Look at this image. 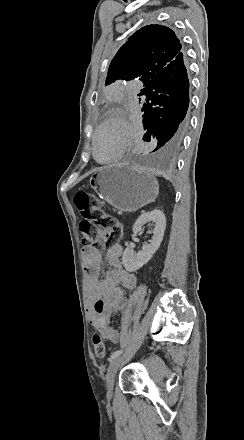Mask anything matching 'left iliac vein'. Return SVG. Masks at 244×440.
Masks as SVG:
<instances>
[{"label": "left iliac vein", "instance_id": "1", "mask_svg": "<svg viewBox=\"0 0 244 440\" xmlns=\"http://www.w3.org/2000/svg\"><path fill=\"white\" fill-rule=\"evenodd\" d=\"M122 359H123L122 356H117L110 361V364L108 366L107 376H106V387L108 390L107 392L108 395H112L113 393L114 377L116 375L119 366L122 364Z\"/></svg>", "mask_w": 244, "mask_h": 440}]
</instances>
